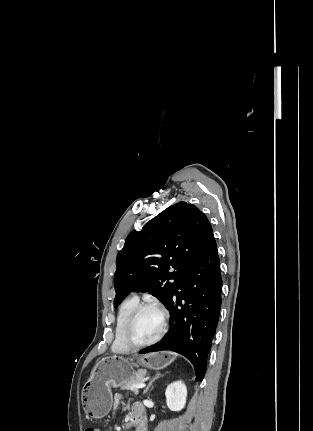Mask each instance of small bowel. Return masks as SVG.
<instances>
[{
	"label": "small bowel",
	"mask_w": 313,
	"mask_h": 431,
	"mask_svg": "<svg viewBox=\"0 0 313 431\" xmlns=\"http://www.w3.org/2000/svg\"><path fill=\"white\" fill-rule=\"evenodd\" d=\"M119 399H120V396H117L116 400L119 401ZM132 415H138L140 417V428L138 431H144V428H143L144 417H143V409L141 408V406H139V405L133 406L132 411H131V416Z\"/></svg>",
	"instance_id": "obj_1"
}]
</instances>
